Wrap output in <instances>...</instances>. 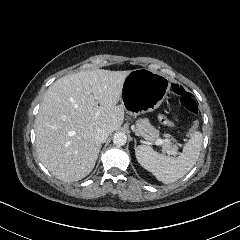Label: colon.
<instances>
[{"instance_id": "1", "label": "colon", "mask_w": 240, "mask_h": 240, "mask_svg": "<svg viewBox=\"0 0 240 240\" xmlns=\"http://www.w3.org/2000/svg\"><path fill=\"white\" fill-rule=\"evenodd\" d=\"M176 90L181 91V92L185 91V89L183 87L176 88ZM179 97H180L179 103L181 104V106H183L192 115H196L198 112V107H197L196 103L191 98H189L188 96H186L184 94H180ZM158 121L162 122L163 125L168 126V128H173V119H169L165 115L164 116L159 115ZM195 129H198V121L197 120H194L193 125H190V132H195ZM188 132H189V130H188ZM186 137L190 138L191 134L187 133Z\"/></svg>"}]
</instances>
